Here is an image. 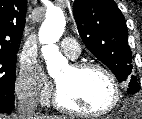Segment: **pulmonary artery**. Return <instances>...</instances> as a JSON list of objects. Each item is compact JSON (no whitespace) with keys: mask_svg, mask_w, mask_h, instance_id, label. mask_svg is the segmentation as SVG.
I'll use <instances>...</instances> for the list:
<instances>
[{"mask_svg":"<svg viewBox=\"0 0 142 119\" xmlns=\"http://www.w3.org/2000/svg\"><path fill=\"white\" fill-rule=\"evenodd\" d=\"M63 52L71 59H75L80 54L78 43L72 38H65L60 42Z\"/></svg>","mask_w":142,"mask_h":119,"instance_id":"pulmonary-artery-1","label":"pulmonary artery"}]
</instances>
